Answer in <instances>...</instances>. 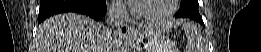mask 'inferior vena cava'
<instances>
[{
	"label": "inferior vena cava",
	"mask_w": 261,
	"mask_h": 52,
	"mask_svg": "<svg viewBox=\"0 0 261 52\" xmlns=\"http://www.w3.org/2000/svg\"><path fill=\"white\" fill-rule=\"evenodd\" d=\"M125 17L126 8L121 3H114L108 6L106 13L107 27L105 28V38L111 42L110 48H112L113 43H116L115 47H117V41L113 40L112 31L123 24Z\"/></svg>",
	"instance_id": "1"
}]
</instances>
